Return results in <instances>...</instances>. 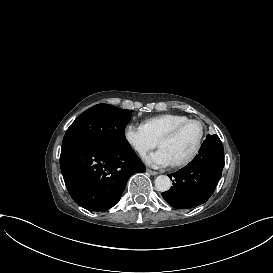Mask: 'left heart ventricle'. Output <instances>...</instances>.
I'll return each instance as SVG.
<instances>
[{
	"label": "left heart ventricle",
	"mask_w": 273,
	"mask_h": 273,
	"mask_svg": "<svg viewBox=\"0 0 273 273\" xmlns=\"http://www.w3.org/2000/svg\"><path fill=\"white\" fill-rule=\"evenodd\" d=\"M200 135V127L192 123L178 133L175 137L166 139L161 147L169 153L173 163L186 159L194 150Z\"/></svg>",
	"instance_id": "b2bd125f"
}]
</instances>
